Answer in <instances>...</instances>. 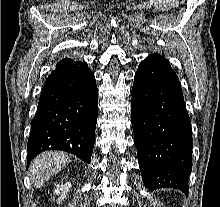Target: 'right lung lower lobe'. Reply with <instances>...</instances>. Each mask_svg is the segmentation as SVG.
<instances>
[{"mask_svg": "<svg viewBox=\"0 0 220 207\" xmlns=\"http://www.w3.org/2000/svg\"><path fill=\"white\" fill-rule=\"evenodd\" d=\"M98 115L94 74L84 61L64 58L48 76L31 122L27 163L46 150H62L90 163Z\"/></svg>", "mask_w": 220, "mask_h": 207, "instance_id": "1", "label": "right lung lower lobe"}]
</instances>
